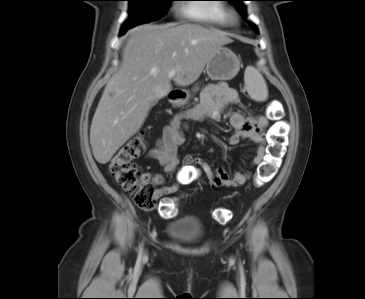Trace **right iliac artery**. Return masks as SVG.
Segmentation results:
<instances>
[{"label": "right iliac artery", "instance_id": "1", "mask_svg": "<svg viewBox=\"0 0 365 299\" xmlns=\"http://www.w3.org/2000/svg\"><path fill=\"white\" fill-rule=\"evenodd\" d=\"M139 252H140V253L142 252V245L140 246Z\"/></svg>", "mask_w": 365, "mask_h": 299}]
</instances>
